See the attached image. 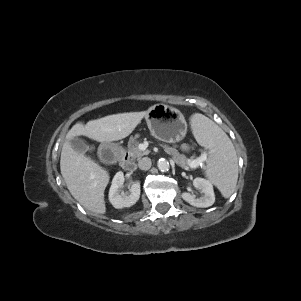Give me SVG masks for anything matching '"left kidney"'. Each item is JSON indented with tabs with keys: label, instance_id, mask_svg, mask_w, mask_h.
<instances>
[{
	"label": "left kidney",
	"instance_id": "5707ae66",
	"mask_svg": "<svg viewBox=\"0 0 301 301\" xmlns=\"http://www.w3.org/2000/svg\"><path fill=\"white\" fill-rule=\"evenodd\" d=\"M193 185L200 190L203 195L197 198L194 194L183 192L181 197L190 205L200 208L210 207L215 202V194L212 183L204 178H195Z\"/></svg>",
	"mask_w": 301,
	"mask_h": 301
}]
</instances>
